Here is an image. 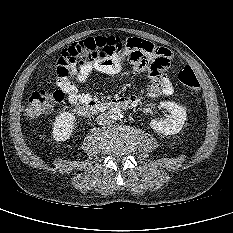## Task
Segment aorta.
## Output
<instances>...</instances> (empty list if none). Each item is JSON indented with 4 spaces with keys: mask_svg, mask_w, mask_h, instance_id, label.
I'll list each match as a JSON object with an SVG mask.
<instances>
[{
    "mask_svg": "<svg viewBox=\"0 0 233 233\" xmlns=\"http://www.w3.org/2000/svg\"><path fill=\"white\" fill-rule=\"evenodd\" d=\"M108 116L113 120H120L123 118V112L119 108H112L108 111Z\"/></svg>",
    "mask_w": 233,
    "mask_h": 233,
    "instance_id": "aorta-1",
    "label": "aorta"
}]
</instances>
